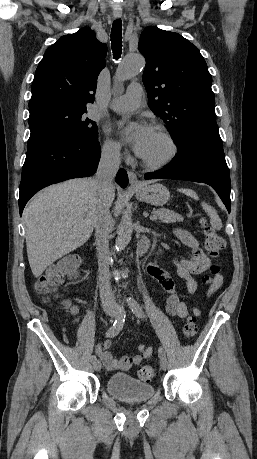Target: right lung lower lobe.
<instances>
[{
	"mask_svg": "<svg viewBox=\"0 0 257 459\" xmlns=\"http://www.w3.org/2000/svg\"><path fill=\"white\" fill-rule=\"evenodd\" d=\"M100 144L95 139L74 138L49 130L31 132L22 168L19 211L42 188L63 180L86 177L96 172ZM116 181L125 188L128 176L120 169Z\"/></svg>",
	"mask_w": 257,
	"mask_h": 459,
	"instance_id": "right-lung-lower-lobe-1",
	"label": "right lung lower lobe"
}]
</instances>
